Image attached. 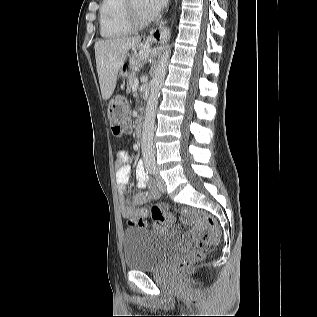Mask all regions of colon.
Masks as SVG:
<instances>
[{"mask_svg": "<svg viewBox=\"0 0 317 317\" xmlns=\"http://www.w3.org/2000/svg\"><path fill=\"white\" fill-rule=\"evenodd\" d=\"M108 119L112 132L116 136H122L129 127V107L126 99L120 95L113 97L108 104ZM183 221H199L206 225V230L201 234L195 245L188 250L176 263L178 271H185L200 262L206 251L220 239V229L217 222L209 214L194 210L182 209L180 211ZM151 217L156 222H172L173 216L166 212L160 205H154L151 209ZM132 225L142 226V220H132Z\"/></svg>", "mask_w": 317, "mask_h": 317, "instance_id": "colon-1", "label": "colon"}]
</instances>
